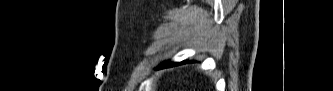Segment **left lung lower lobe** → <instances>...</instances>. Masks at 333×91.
Returning <instances> with one entry per match:
<instances>
[{
	"label": "left lung lower lobe",
	"instance_id": "obj_1",
	"mask_svg": "<svg viewBox=\"0 0 333 91\" xmlns=\"http://www.w3.org/2000/svg\"><path fill=\"white\" fill-rule=\"evenodd\" d=\"M182 63H184V62H181V63H171V64L170 63H164V65L160 66V68L161 67H166V66H172V65H176V64H182Z\"/></svg>",
	"mask_w": 333,
	"mask_h": 91
}]
</instances>
